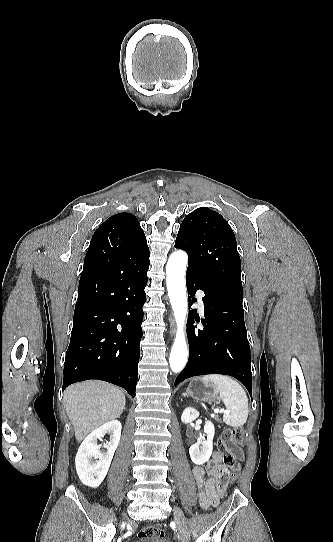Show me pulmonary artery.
Returning a JSON list of instances; mask_svg holds the SVG:
<instances>
[{
  "label": "pulmonary artery",
  "instance_id": "e3ab8cb5",
  "mask_svg": "<svg viewBox=\"0 0 333 542\" xmlns=\"http://www.w3.org/2000/svg\"><path fill=\"white\" fill-rule=\"evenodd\" d=\"M196 292L199 294L201 291L198 289ZM168 296H169V295H165V299H167ZM198 302H199V304H201V303H202L201 299H199Z\"/></svg>",
  "mask_w": 333,
  "mask_h": 542
}]
</instances>
